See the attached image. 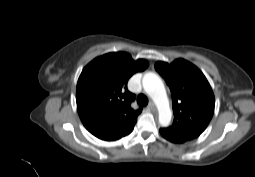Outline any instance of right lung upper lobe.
<instances>
[{
  "label": "right lung upper lobe",
  "instance_id": "right-lung-upper-lobe-1",
  "mask_svg": "<svg viewBox=\"0 0 255 177\" xmlns=\"http://www.w3.org/2000/svg\"><path fill=\"white\" fill-rule=\"evenodd\" d=\"M148 62L134 61L126 52L107 53L82 71L76 89L77 110L86 129L108 140L137 120L142 108L133 110L135 95L128 91L129 78L145 70Z\"/></svg>",
  "mask_w": 255,
  "mask_h": 177
}]
</instances>
